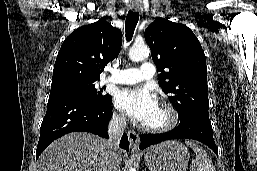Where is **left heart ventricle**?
Returning <instances> with one entry per match:
<instances>
[{
	"mask_svg": "<svg viewBox=\"0 0 257 171\" xmlns=\"http://www.w3.org/2000/svg\"><path fill=\"white\" fill-rule=\"evenodd\" d=\"M168 120V114L163 108L158 104L153 113L149 118L144 122L146 125L157 126L166 123Z\"/></svg>",
	"mask_w": 257,
	"mask_h": 171,
	"instance_id": "left-heart-ventricle-1",
	"label": "left heart ventricle"
}]
</instances>
